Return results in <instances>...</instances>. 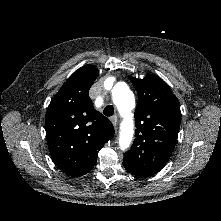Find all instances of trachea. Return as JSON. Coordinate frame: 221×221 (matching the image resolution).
I'll list each match as a JSON object with an SVG mask.
<instances>
[{
  "label": "trachea",
  "instance_id": "obj_1",
  "mask_svg": "<svg viewBox=\"0 0 221 221\" xmlns=\"http://www.w3.org/2000/svg\"><path fill=\"white\" fill-rule=\"evenodd\" d=\"M104 115L110 117L114 114V107L112 105H108L104 109Z\"/></svg>",
  "mask_w": 221,
  "mask_h": 221
}]
</instances>
